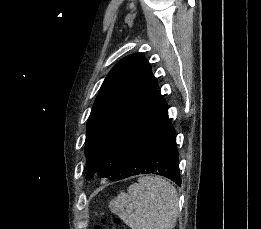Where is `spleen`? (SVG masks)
Masks as SVG:
<instances>
[{"label":"spleen","instance_id":"3e777b00","mask_svg":"<svg viewBox=\"0 0 261 229\" xmlns=\"http://www.w3.org/2000/svg\"><path fill=\"white\" fill-rule=\"evenodd\" d=\"M130 229H174L178 215L175 187L161 177H140L109 203Z\"/></svg>","mask_w":261,"mask_h":229}]
</instances>
